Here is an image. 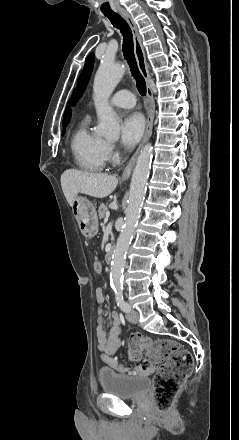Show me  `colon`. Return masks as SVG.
Returning <instances> with one entry per match:
<instances>
[{
  "instance_id": "colon-1",
  "label": "colon",
  "mask_w": 239,
  "mask_h": 440,
  "mask_svg": "<svg viewBox=\"0 0 239 440\" xmlns=\"http://www.w3.org/2000/svg\"><path fill=\"white\" fill-rule=\"evenodd\" d=\"M93 270L96 274L102 272L98 259L93 260ZM127 352L132 361H138L141 354L145 352L150 365L125 366L114 359L111 362L112 367L120 373H154L153 397L156 407L160 412L167 411L172 406L184 381L191 374L194 364L192 354L180 349L171 340L152 341L141 334L130 336Z\"/></svg>"
}]
</instances>
